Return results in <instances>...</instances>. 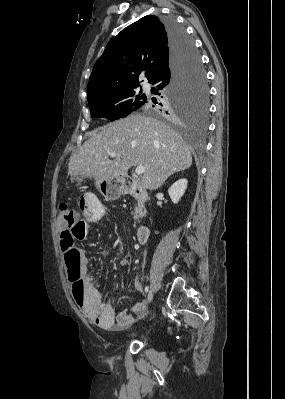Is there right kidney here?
Returning a JSON list of instances; mask_svg holds the SVG:
<instances>
[{
  "mask_svg": "<svg viewBox=\"0 0 285 399\" xmlns=\"http://www.w3.org/2000/svg\"><path fill=\"white\" fill-rule=\"evenodd\" d=\"M187 183V179H179L168 189V194L174 204H177L184 195Z\"/></svg>",
  "mask_w": 285,
  "mask_h": 399,
  "instance_id": "right-kidney-1",
  "label": "right kidney"
}]
</instances>
